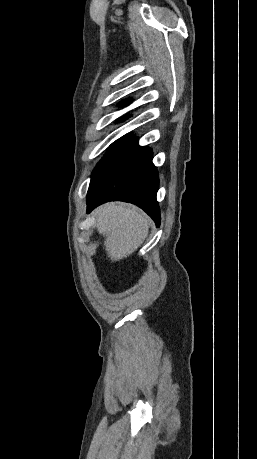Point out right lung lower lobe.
<instances>
[{
  "instance_id": "1",
  "label": "right lung lower lobe",
  "mask_w": 257,
  "mask_h": 459,
  "mask_svg": "<svg viewBox=\"0 0 257 459\" xmlns=\"http://www.w3.org/2000/svg\"><path fill=\"white\" fill-rule=\"evenodd\" d=\"M159 178L152 151L125 136L115 141L95 167L87 193V212L108 201H125L142 208L160 224L156 194Z\"/></svg>"
}]
</instances>
